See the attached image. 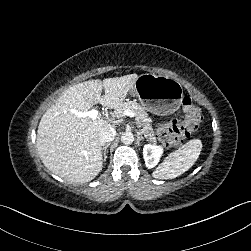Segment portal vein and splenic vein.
I'll use <instances>...</instances> for the list:
<instances>
[{"instance_id": "portal-vein-and-splenic-vein-1", "label": "portal vein and splenic vein", "mask_w": 251, "mask_h": 251, "mask_svg": "<svg viewBox=\"0 0 251 251\" xmlns=\"http://www.w3.org/2000/svg\"><path fill=\"white\" fill-rule=\"evenodd\" d=\"M72 113L78 115L79 117H89L92 121H107L114 122L122 119L125 116L133 117L134 113L131 110L125 109L119 113H112L110 115L101 114L99 111L93 109L89 111H78L76 109H71Z\"/></svg>"}]
</instances>
